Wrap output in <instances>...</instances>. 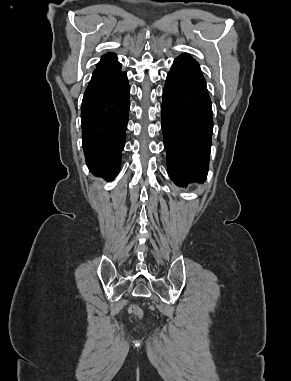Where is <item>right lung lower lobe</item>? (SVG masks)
<instances>
[{
    "label": "right lung lower lobe",
    "mask_w": 291,
    "mask_h": 381,
    "mask_svg": "<svg viewBox=\"0 0 291 381\" xmlns=\"http://www.w3.org/2000/svg\"><path fill=\"white\" fill-rule=\"evenodd\" d=\"M129 92L127 75L121 71L117 56H102L85 90L82 110V144L89 170L112 180L121 165L128 121Z\"/></svg>",
    "instance_id": "98d812e1"
}]
</instances>
